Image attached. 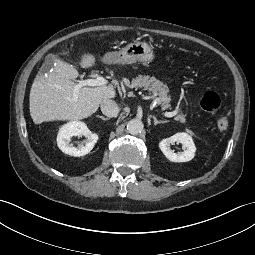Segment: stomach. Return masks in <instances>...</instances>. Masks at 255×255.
Wrapping results in <instances>:
<instances>
[{
	"mask_svg": "<svg viewBox=\"0 0 255 255\" xmlns=\"http://www.w3.org/2000/svg\"><path fill=\"white\" fill-rule=\"evenodd\" d=\"M154 59L151 46L145 41H134L127 44L118 52L105 56V61L112 64L124 65L136 62L150 63Z\"/></svg>",
	"mask_w": 255,
	"mask_h": 255,
	"instance_id": "1",
	"label": "stomach"
}]
</instances>
